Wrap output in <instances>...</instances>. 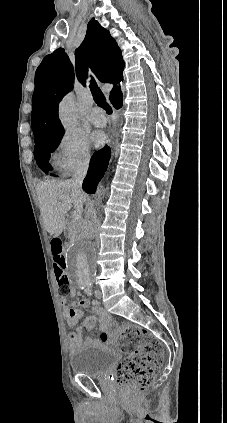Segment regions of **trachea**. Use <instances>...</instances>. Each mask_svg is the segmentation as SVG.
<instances>
[{
  "instance_id": "3493384b",
  "label": "trachea",
  "mask_w": 227,
  "mask_h": 423,
  "mask_svg": "<svg viewBox=\"0 0 227 423\" xmlns=\"http://www.w3.org/2000/svg\"><path fill=\"white\" fill-rule=\"evenodd\" d=\"M90 90L92 92L94 101L95 103H97L98 107L103 108V110H105L106 113H108V115H111L112 108L110 107L109 103H107L105 95L103 94L101 89L98 87L94 79H92L91 81Z\"/></svg>"
}]
</instances>
